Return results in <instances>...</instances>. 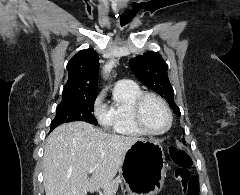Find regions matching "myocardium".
<instances>
[{
	"label": "myocardium",
	"instance_id": "f54148a6",
	"mask_svg": "<svg viewBox=\"0 0 240 195\" xmlns=\"http://www.w3.org/2000/svg\"><path fill=\"white\" fill-rule=\"evenodd\" d=\"M149 98L156 100L162 106V108L165 112V115L167 118V123H166V126L162 130H158V131L152 130L146 125V123L144 121L143 105H144L145 101ZM133 113H134V119H135L137 126L145 134L153 135V136L163 135L166 132H168L169 129L171 128L172 120H173L172 112H171L168 104L166 103V101L156 93L148 92V91L141 92L134 101Z\"/></svg>",
	"mask_w": 240,
	"mask_h": 195
}]
</instances>
